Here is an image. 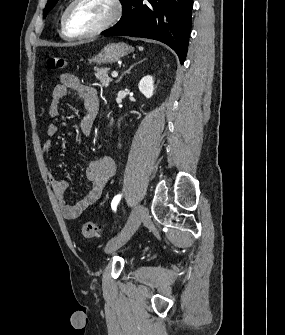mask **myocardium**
I'll return each mask as SVG.
<instances>
[{"label":"myocardium","instance_id":"obj_1","mask_svg":"<svg viewBox=\"0 0 285 335\" xmlns=\"http://www.w3.org/2000/svg\"><path fill=\"white\" fill-rule=\"evenodd\" d=\"M85 2V1H72L66 11V19L69 24V27L71 29V37L74 39H81V38H88V37H94L97 36L107 29H109L111 26H113L121 17L122 15V3L121 1H103L106 3L110 9L111 14L109 18L99 27L92 29V30H80L75 31L74 25H73V12L74 8L78 3Z\"/></svg>","mask_w":285,"mask_h":335}]
</instances>
